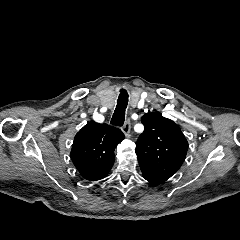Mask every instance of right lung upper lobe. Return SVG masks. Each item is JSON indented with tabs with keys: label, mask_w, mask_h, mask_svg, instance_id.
<instances>
[{
	"label": "right lung upper lobe",
	"mask_w": 240,
	"mask_h": 240,
	"mask_svg": "<svg viewBox=\"0 0 240 240\" xmlns=\"http://www.w3.org/2000/svg\"><path fill=\"white\" fill-rule=\"evenodd\" d=\"M125 138L118 128L88 122L75 136L70 157L83 178H105L115 160L114 149Z\"/></svg>",
	"instance_id": "obj_1"
}]
</instances>
